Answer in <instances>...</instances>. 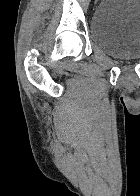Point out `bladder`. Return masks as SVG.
<instances>
[{
  "label": "bladder",
  "instance_id": "1",
  "mask_svg": "<svg viewBox=\"0 0 140 196\" xmlns=\"http://www.w3.org/2000/svg\"><path fill=\"white\" fill-rule=\"evenodd\" d=\"M97 49L122 60L140 58V0H102L90 21Z\"/></svg>",
  "mask_w": 140,
  "mask_h": 196
}]
</instances>
